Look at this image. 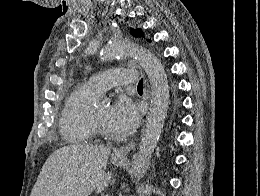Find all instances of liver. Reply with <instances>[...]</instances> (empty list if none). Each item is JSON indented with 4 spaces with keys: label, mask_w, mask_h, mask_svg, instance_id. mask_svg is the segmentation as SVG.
<instances>
[{
    "label": "liver",
    "mask_w": 260,
    "mask_h": 196,
    "mask_svg": "<svg viewBox=\"0 0 260 196\" xmlns=\"http://www.w3.org/2000/svg\"><path fill=\"white\" fill-rule=\"evenodd\" d=\"M111 148L64 146L46 160L30 196H90L101 194L112 178L106 172Z\"/></svg>",
    "instance_id": "obj_1"
}]
</instances>
